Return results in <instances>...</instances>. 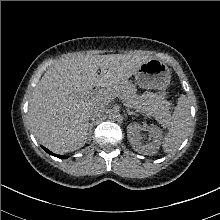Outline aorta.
<instances>
[{
	"label": "aorta",
	"mask_w": 220,
	"mask_h": 220,
	"mask_svg": "<svg viewBox=\"0 0 220 220\" xmlns=\"http://www.w3.org/2000/svg\"><path fill=\"white\" fill-rule=\"evenodd\" d=\"M120 116V113L117 109H111L108 111V118L111 120H115Z\"/></svg>",
	"instance_id": "762f6f07"
}]
</instances>
